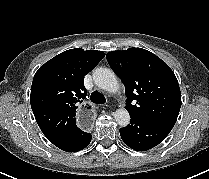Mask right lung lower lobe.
I'll list each match as a JSON object with an SVG mask.
<instances>
[{"instance_id":"1","label":"right lung lower lobe","mask_w":209,"mask_h":179,"mask_svg":"<svg viewBox=\"0 0 209 179\" xmlns=\"http://www.w3.org/2000/svg\"><path fill=\"white\" fill-rule=\"evenodd\" d=\"M92 135L78 127L65 137L53 142L55 146L66 152H77L84 149L91 141Z\"/></svg>"}]
</instances>
